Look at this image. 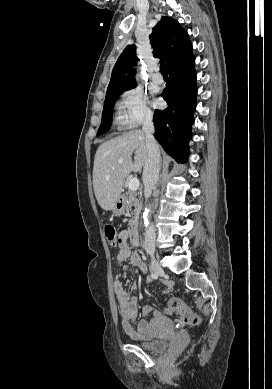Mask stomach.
<instances>
[{"label": "stomach", "mask_w": 272, "mask_h": 389, "mask_svg": "<svg viewBox=\"0 0 272 389\" xmlns=\"http://www.w3.org/2000/svg\"><path fill=\"white\" fill-rule=\"evenodd\" d=\"M125 210V199L123 196H120L119 199L116 201L114 207L112 208V212L114 215L119 216L121 215Z\"/></svg>", "instance_id": "0dacf381"}]
</instances>
